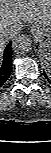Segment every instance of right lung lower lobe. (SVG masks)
Segmentation results:
<instances>
[{
	"label": "right lung lower lobe",
	"instance_id": "right-lung-lower-lobe-1",
	"mask_svg": "<svg viewBox=\"0 0 51 153\" xmlns=\"http://www.w3.org/2000/svg\"><path fill=\"white\" fill-rule=\"evenodd\" d=\"M11 44L12 42H9V44L5 48L4 56H3V63L0 66V87L6 82V80L9 78L11 71H12ZM1 58L2 57L0 55V60Z\"/></svg>",
	"mask_w": 51,
	"mask_h": 153
}]
</instances>
